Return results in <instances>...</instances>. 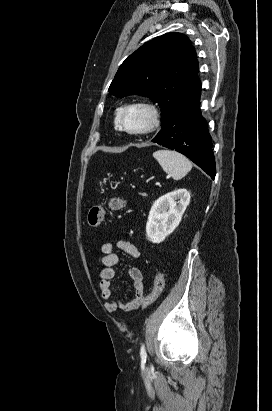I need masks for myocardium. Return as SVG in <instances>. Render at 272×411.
I'll use <instances>...</instances> for the list:
<instances>
[{"label": "myocardium", "mask_w": 272, "mask_h": 411, "mask_svg": "<svg viewBox=\"0 0 272 411\" xmlns=\"http://www.w3.org/2000/svg\"><path fill=\"white\" fill-rule=\"evenodd\" d=\"M131 109H142L148 114V122L144 127L137 130H131L127 128V126L124 123V115ZM160 121V113L157 107L145 101H134L126 104L124 107L121 108L118 115L119 129L124 133L133 136H143L154 132L159 127Z\"/></svg>", "instance_id": "f54148a6"}]
</instances>
